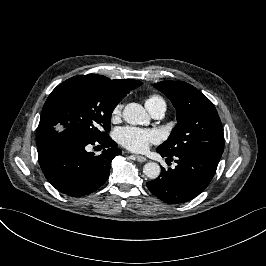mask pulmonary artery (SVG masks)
<instances>
[{"label":"pulmonary artery","mask_w":266,"mask_h":266,"mask_svg":"<svg viewBox=\"0 0 266 266\" xmlns=\"http://www.w3.org/2000/svg\"><path fill=\"white\" fill-rule=\"evenodd\" d=\"M165 111H166V106H163V107H161V108H159V109H157L151 113L155 118H160L164 115Z\"/></svg>","instance_id":"pulmonary-artery-1"}]
</instances>
